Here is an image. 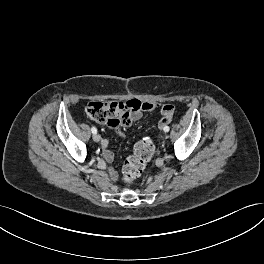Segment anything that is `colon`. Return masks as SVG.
Here are the masks:
<instances>
[{
  "mask_svg": "<svg viewBox=\"0 0 264 264\" xmlns=\"http://www.w3.org/2000/svg\"><path fill=\"white\" fill-rule=\"evenodd\" d=\"M86 113L92 120L114 128L131 124L130 112L122 102H90L86 106ZM167 122V119H161L159 127ZM153 151L154 146L149 138H142L135 144L133 154L127 158L122 170L126 183L133 182L142 174Z\"/></svg>",
  "mask_w": 264,
  "mask_h": 264,
  "instance_id": "colon-1",
  "label": "colon"
}]
</instances>
